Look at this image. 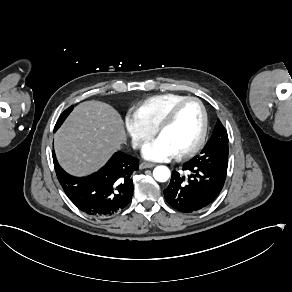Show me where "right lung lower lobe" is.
<instances>
[{
	"instance_id": "98d812e1",
	"label": "right lung lower lobe",
	"mask_w": 292,
	"mask_h": 292,
	"mask_svg": "<svg viewBox=\"0 0 292 292\" xmlns=\"http://www.w3.org/2000/svg\"><path fill=\"white\" fill-rule=\"evenodd\" d=\"M57 178L68 198L84 213L108 217L127 207L132 199L131 175L138 170L139 160L123 152L115 153L97 172L74 177L58 164L53 152Z\"/></svg>"
}]
</instances>
